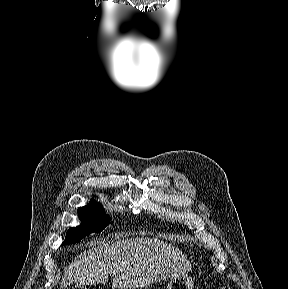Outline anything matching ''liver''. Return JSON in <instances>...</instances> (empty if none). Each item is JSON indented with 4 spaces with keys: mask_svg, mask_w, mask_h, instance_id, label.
Masks as SVG:
<instances>
[{
    "mask_svg": "<svg viewBox=\"0 0 288 289\" xmlns=\"http://www.w3.org/2000/svg\"><path fill=\"white\" fill-rule=\"evenodd\" d=\"M64 269L67 285L106 284L116 274L112 286L137 289L190 271L185 255L164 241L137 237L113 243L95 241Z\"/></svg>",
    "mask_w": 288,
    "mask_h": 289,
    "instance_id": "liver-1",
    "label": "liver"
}]
</instances>
